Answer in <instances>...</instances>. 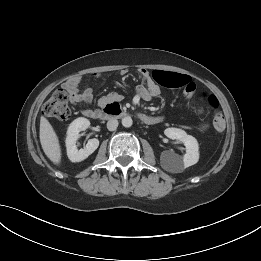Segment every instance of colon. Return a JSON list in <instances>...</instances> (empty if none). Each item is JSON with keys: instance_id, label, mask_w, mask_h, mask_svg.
<instances>
[{"instance_id": "obj_1", "label": "colon", "mask_w": 261, "mask_h": 261, "mask_svg": "<svg viewBox=\"0 0 261 261\" xmlns=\"http://www.w3.org/2000/svg\"><path fill=\"white\" fill-rule=\"evenodd\" d=\"M70 95L65 89L56 90L53 95L45 102L43 112L48 117H53L58 120H67L71 115V110L68 104ZM205 102L215 110L213 117V127L221 132L225 129L226 123L222 113L218 110L219 104L215 96L204 94Z\"/></svg>"}]
</instances>
